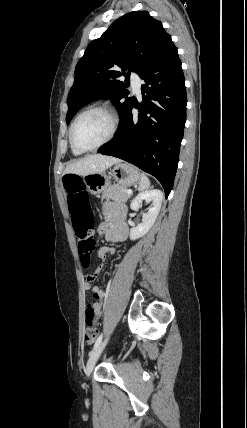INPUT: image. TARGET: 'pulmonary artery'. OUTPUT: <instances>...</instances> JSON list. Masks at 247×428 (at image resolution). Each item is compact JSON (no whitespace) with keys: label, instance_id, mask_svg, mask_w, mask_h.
Here are the masks:
<instances>
[{"label":"pulmonary artery","instance_id":"e3ab8cb5","mask_svg":"<svg viewBox=\"0 0 247 428\" xmlns=\"http://www.w3.org/2000/svg\"><path fill=\"white\" fill-rule=\"evenodd\" d=\"M131 81L134 88V91L136 93L140 92V86H141V80L136 74L131 75Z\"/></svg>","mask_w":247,"mask_h":428}]
</instances>
